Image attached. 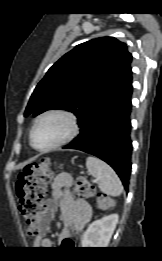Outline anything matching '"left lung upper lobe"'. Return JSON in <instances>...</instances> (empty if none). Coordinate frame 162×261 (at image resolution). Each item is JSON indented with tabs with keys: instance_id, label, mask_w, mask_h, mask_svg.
<instances>
[{
	"instance_id": "left-lung-upper-lobe-1",
	"label": "left lung upper lobe",
	"mask_w": 162,
	"mask_h": 261,
	"mask_svg": "<svg viewBox=\"0 0 162 261\" xmlns=\"http://www.w3.org/2000/svg\"><path fill=\"white\" fill-rule=\"evenodd\" d=\"M132 54L113 37L92 39L61 57L36 86L25 116L64 109L81 127L92 113L132 78Z\"/></svg>"
}]
</instances>
